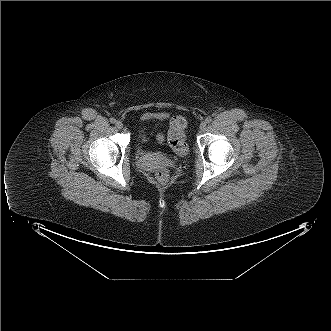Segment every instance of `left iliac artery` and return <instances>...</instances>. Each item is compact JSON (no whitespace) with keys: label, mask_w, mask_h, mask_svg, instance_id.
Here are the masks:
<instances>
[{"label":"left iliac artery","mask_w":331,"mask_h":331,"mask_svg":"<svg viewBox=\"0 0 331 331\" xmlns=\"http://www.w3.org/2000/svg\"><path fill=\"white\" fill-rule=\"evenodd\" d=\"M211 121H212L211 117H207V118L205 119V122H206V123H210Z\"/></svg>","instance_id":"1"}]
</instances>
